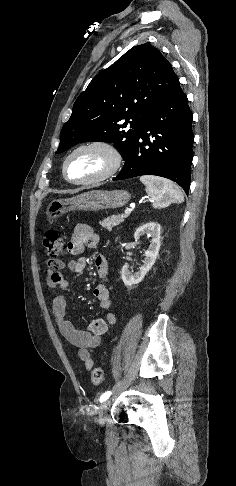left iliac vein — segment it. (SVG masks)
I'll return each instance as SVG.
<instances>
[{"label":"left iliac vein","instance_id":"4c4485c4","mask_svg":"<svg viewBox=\"0 0 236 486\" xmlns=\"http://www.w3.org/2000/svg\"><path fill=\"white\" fill-rule=\"evenodd\" d=\"M110 405V401L103 402L99 407L100 424L103 425L105 422V413L107 412Z\"/></svg>","mask_w":236,"mask_h":486}]
</instances>
